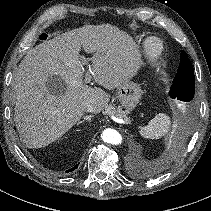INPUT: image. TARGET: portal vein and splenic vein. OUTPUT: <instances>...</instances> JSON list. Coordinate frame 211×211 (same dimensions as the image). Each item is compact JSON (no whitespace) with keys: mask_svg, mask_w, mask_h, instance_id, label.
Wrapping results in <instances>:
<instances>
[{"mask_svg":"<svg viewBox=\"0 0 211 211\" xmlns=\"http://www.w3.org/2000/svg\"><path fill=\"white\" fill-rule=\"evenodd\" d=\"M90 74H92V71H91V68L89 66L88 72L86 73V76H85V79H84L85 83H89L91 81V75ZM113 120L117 121V119L114 116H113Z\"/></svg>","mask_w":211,"mask_h":211,"instance_id":"portal-vein-and-splenic-vein-1","label":"portal vein and splenic vein"}]
</instances>
